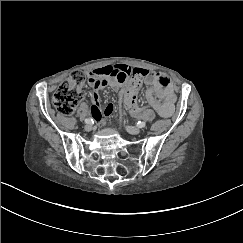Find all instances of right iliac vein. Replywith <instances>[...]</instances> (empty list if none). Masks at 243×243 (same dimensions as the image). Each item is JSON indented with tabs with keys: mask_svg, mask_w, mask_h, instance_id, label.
<instances>
[{
	"mask_svg": "<svg viewBox=\"0 0 243 243\" xmlns=\"http://www.w3.org/2000/svg\"><path fill=\"white\" fill-rule=\"evenodd\" d=\"M84 129H85V131L89 132V131L92 130V125L91 124H87V125H85Z\"/></svg>",
	"mask_w": 243,
	"mask_h": 243,
	"instance_id": "1",
	"label": "right iliac vein"
}]
</instances>
